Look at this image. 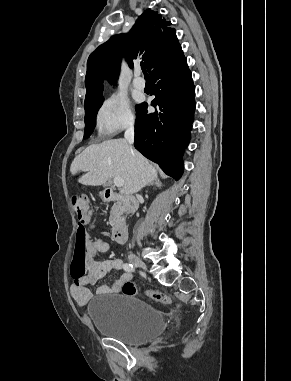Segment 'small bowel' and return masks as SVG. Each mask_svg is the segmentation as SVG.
Returning a JSON list of instances; mask_svg holds the SVG:
<instances>
[{
    "label": "small bowel",
    "mask_w": 291,
    "mask_h": 381,
    "mask_svg": "<svg viewBox=\"0 0 291 381\" xmlns=\"http://www.w3.org/2000/svg\"><path fill=\"white\" fill-rule=\"evenodd\" d=\"M108 250L109 244L101 238H93L89 241L86 252L88 274L74 279L70 286V294L78 306L86 305L91 299L90 285L95 284L110 271L122 270L123 262L118 258L96 259L98 253H106ZM132 278V273L125 272L112 286L102 285L97 289V292L99 294L118 293L121 291L122 285L131 281Z\"/></svg>",
    "instance_id": "1"
}]
</instances>
